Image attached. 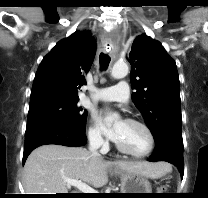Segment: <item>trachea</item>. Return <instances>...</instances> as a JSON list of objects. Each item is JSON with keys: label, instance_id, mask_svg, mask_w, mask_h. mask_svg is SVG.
I'll list each match as a JSON object with an SVG mask.
<instances>
[{"label": "trachea", "instance_id": "obj_1", "mask_svg": "<svg viewBox=\"0 0 208 198\" xmlns=\"http://www.w3.org/2000/svg\"><path fill=\"white\" fill-rule=\"evenodd\" d=\"M111 61V58L109 57L108 54L101 53L100 54V67L101 70H106L109 66V63Z\"/></svg>", "mask_w": 208, "mask_h": 198}]
</instances>
